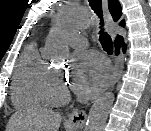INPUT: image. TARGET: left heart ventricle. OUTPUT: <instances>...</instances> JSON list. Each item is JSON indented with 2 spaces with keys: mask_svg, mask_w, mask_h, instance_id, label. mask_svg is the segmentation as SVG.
Returning <instances> with one entry per match:
<instances>
[{
  "mask_svg": "<svg viewBox=\"0 0 151 131\" xmlns=\"http://www.w3.org/2000/svg\"><path fill=\"white\" fill-rule=\"evenodd\" d=\"M56 83H57V84H58V83H62V80H61V77H60V76H58ZM62 84H63V83H62Z\"/></svg>",
  "mask_w": 151,
  "mask_h": 131,
  "instance_id": "obj_1",
  "label": "left heart ventricle"
}]
</instances>
